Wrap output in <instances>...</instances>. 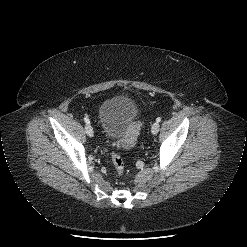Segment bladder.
<instances>
[{"instance_id": "obj_1", "label": "bladder", "mask_w": 247, "mask_h": 247, "mask_svg": "<svg viewBox=\"0 0 247 247\" xmlns=\"http://www.w3.org/2000/svg\"><path fill=\"white\" fill-rule=\"evenodd\" d=\"M138 116L137 104L125 96L106 99L98 110L104 136L123 149L132 148L136 142L135 125Z\"/></svg>"}]
</instances>
